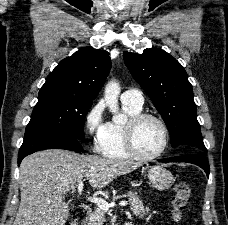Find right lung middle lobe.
<instances>
[{
  "mask_svg": "<svg viewBox=\"0 0 228 225\" xmlns=\"http://www.w3.org/2000/svg\"><path fill=\"white\" fill-rule=\"evenodd\" d=\"M92 100L58 88H41L25 135L51 131L84 140V120Z\"/></svg>",
  "mask_w": 228,
  "mask_h": 225,
  "instance_id": "1",
  "label": "right lung middle lobe"
}]
</instances>
